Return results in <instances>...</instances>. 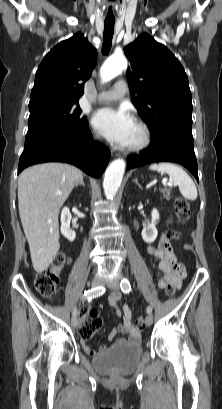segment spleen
Segmentation results:
<instances>
[{"instance_id":"3e777b00","label":"spleen","mask_w":222,"mask_h":409,"mask_svg":"<svg viewBox=\"0 0 222 409\" xmlns=\"http://www.w3.org/2000/svg\"><path fill=\"white\" fill-rule=\"evenodd\" d=\"M149 169L167 173L171 181L179 186L180 193L185 199L191 201L197 199V188L193 180L180 166L168 162H161L150 165Z\"/></svg>"}]
</instances>
